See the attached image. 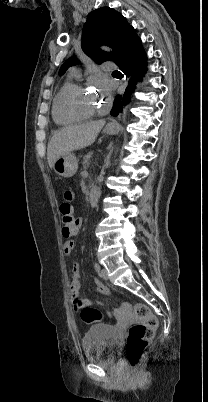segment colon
<instances>
[{
    "label": "colon",
    "mask_w": 208,
    "mask_h": 402,
    "mask_svg": "<svg viewBox=\"0 0 208 402\" xmlns=\"http://www.w3.org/2000/svg\"><path fill=\"white\" fill-rule=\"evenodd\" d=\"M62 202L60 203L61 228L64 237L73 235L75 224L78 220L73 213L74 192L67 189L63 192ZM72 305L74 311L80 314L81 319L85 323L92 324L102 320L101 312L92 306L84 305L81 298L76 297ZM135 313L142 318L141 324H128L127 344L129 350L128 361L131 365H136L144 356L149 340L153 337L156 327H159V318H149L150 311L146 307L135 306Z\"/></svg>",
    "instance_id": "colon-1"
}]
</instances>
